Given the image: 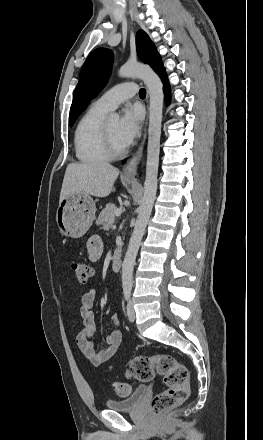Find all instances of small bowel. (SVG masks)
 Segmentation results:
<instances>
[{
	"label": "small bowel",
	"mask_w": 263,
	"mask_h": 440,
	"mask_svg": "<svg viewBox=\"0 0 263 440\" xmlns=\"http://www.w3.org/2000/svg\"><path fill=\"white\" fill-rule=\"evenodd\" d=\"M87 257L90 261H98L103 253V243L99 236L89 238L87 242ZM96 298V290L90 289L81 296L79 315L83 321V327L76 336V345L82 355L94 366L108 361L119 349L122 342V334L117 327L119 317L116 313L110 316V322L116 327L105 337L106 347L100 351L94 348L95 316L92 311Z\"/></svg>",
	"instance_id": "obj_1"
}]
</instances>
